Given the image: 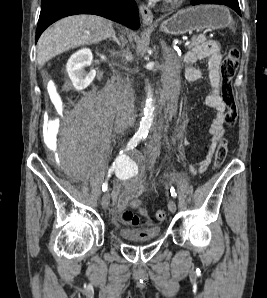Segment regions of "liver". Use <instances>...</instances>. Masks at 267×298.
Listing matches in <instances>:
<instances>
[{"label": "liver", "instance_id": "obj_1", "mask_svg": "<svg viewBox=\"0 0 267 298\" xmlns=\"http://www.w3.org/2000/svg\"><path fill=\"white\" fill-rule=\"evenodd\" d=\"M113 33V23L99 16L75 15L63 18L40 36L37 43L38 64L43 66L67 50L98 43Z\"/></svg>", "mask_w": 267, "mask_h": 298}]
</instances>
